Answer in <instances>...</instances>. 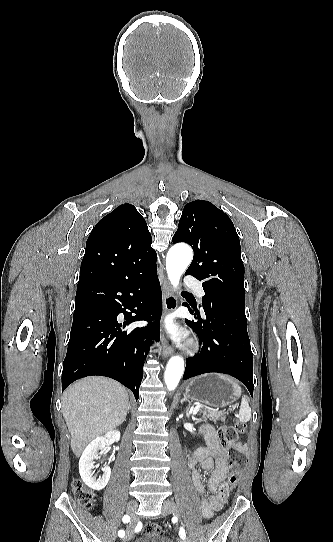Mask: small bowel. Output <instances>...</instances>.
Here are the masks:
<instances>
[{
	"label": "small bowel",
	"instance_id": "c3829d8e",
	"mask_svg": "<svg viewBox=\"0 0 333 542\" xmlns=\"http://www.w3.org/2000/svg\"><path fill=\"white\" fill-rule=\"evenodd\" d=\"M200 432L204 434L206 447L196 450L188 460V467L192 472V482L196 492L203 496L206 492V487L203 483L202 473L196 468L197 463H201L204 471L210 473L208 479V496L201 500L202 515L210 519L214 513L220 511L227 501V490L225 489L224 481L229 471V451L224 447L218 438V434L211 426H203ZM231 449L243 455L248 454V447L243 442H235L230 445ZM138 529L131 525L126 530L128 539L134 537Z\"/></svg>",
	"mask_w": 333,
	"mask_h": 542
}]
</instances>
